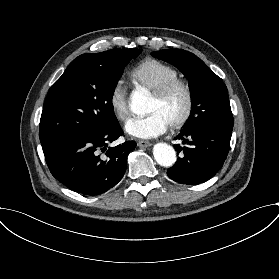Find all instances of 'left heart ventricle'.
Returning a JSON list of instances; mask_svg holds the SVG:
<instances>
[{
	"label": "left heart ventricle",
	"mask_w": 279,
	"mask_h": 279,
	"mask_svg": "<svg viewBox=\"0 0 279 279\" xmlns=\"http://www.w3.org/2000/svg\"><path fill=\"white\" fill-rule=\"evenodd\" d=\"M185 94L182 89H176L164 99H157L153 95L149 104V111H160L169 124L176 121L184 112Z\"/></svg>",
	"instance_id": "left-heart-ventricle-1"
}]
</instances>
